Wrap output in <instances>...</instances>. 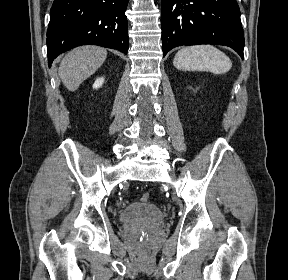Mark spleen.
<instances>
[{
  "label": "spleen",
  "mask_w": 288,
  "mask_h": 280,
  "mask_svg": "<svg viewBox=\"0 0 288 280\" xmlns=\"http://www.w3.org/2000/svg\"><path fill=\"white\" fill-rule=\"evenodd\" d=\"M179 70L224 74L232 67L230 58L212 45H195L179 50L173 60Z\"/></svg>",
  "instance_id": "spleen-1"
}]
</instances>
